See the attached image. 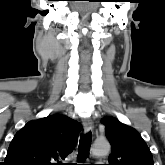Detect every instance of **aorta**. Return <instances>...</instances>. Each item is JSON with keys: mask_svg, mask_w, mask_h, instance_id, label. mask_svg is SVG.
Returning a JSON list of instances; mask_svg holds the SVG:
<instances>
[{"mask_svg": "<svg viewBox=\"0 0 165 165\" xmlns=\"http://www.w3.org/2000/svg\"><path fill=\"white\" fill-rule=\"evenodd\" d=\"M92 152L97 156L107 155L110 152L108 141L95 142L92 147Z\"/></svg>", "mask_w": 165, "mask_h": 165, "instance_id": "aorta-1", "label": "aorta"}]
</instances>
